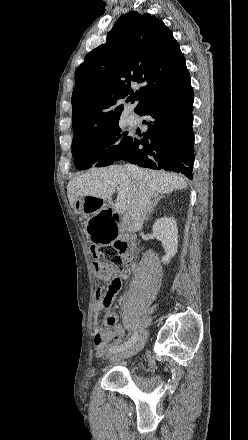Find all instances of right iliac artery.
I'll return each instance as SVG.
<instances>
[{"label": "right iliac artery", "mask_w": 248, "mask_h": 440, "mask_svg": "<svg viewBox=\"0 0 248 440\" xmlns=\"http://www.w3.org/2000/svg\"><path fill=\"white\" fill-rule=\"evenodd\" d=\"M137 339H138V334H137V332H135L126 343L112 347L109 351H110V353H117L122 350H125V349L129 348L132 344H134Z\"/></svg>", "instance_id": "1"}]
</instances>
